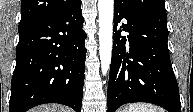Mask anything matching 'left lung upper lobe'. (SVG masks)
I'll return each mask as SVG.
<instances>
[{
  "label": "left lung upper lobe",
  "instance_id": "1",
  "mask_svg": "<svg viewBox=\"0 0 193 112\" xmlns=\"http://www.w3.org/2000/svg\"><path fill=\"white\" fill-rule=\"evenodd\" d=\"M114 6L129 14L165 11L164 0H114Z\"/></svg>",
  "mask_w": 193,
  "mask_h": 112
}]
</instances>
